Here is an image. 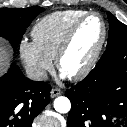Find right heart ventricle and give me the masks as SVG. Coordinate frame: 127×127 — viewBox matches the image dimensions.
Listing matches in <instances>:
<instances>
[{"label":"right heart ventricle","mask_w":127,"mask_h":127,"mask_svg":"<svg viewBox=\"0 0 127 127\" xmlns=\"http://www.w3.org/2000/svg\"><path fill=\"white\" fill-rule=\"evenodd\" d=\"M85 13L83 10L70 9L44 16L32 28L33 41L46 56L55 58L67 31Z\"/></svg>","instance_id":"e07e8e85"}]
</instances>
